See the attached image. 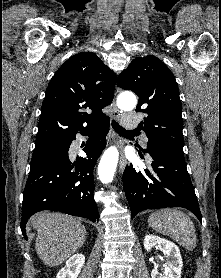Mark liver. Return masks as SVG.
Segmentation results:
<instances>
[{
	"label": "liver",
	"mask_w": 221,
	"mask_h": 278,
	"mask_svg": "<svg viewBox=\"0 0 221 278\" xmlns=\"http://www.w3.org/2000/svg\"><path fill=\"white\" fill-rule=\"evenodd\" d=\"M30 224L37 231L36 252L49 267L62 264L86 239L84 225L62 213H37L31 217Z\"/></svg>",
	"instance_id": "6515ba94"
}]
</instances>
